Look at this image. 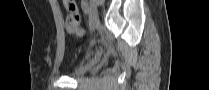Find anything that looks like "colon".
Segmentation results:
<instances>
[{"mask_svg":"<svg viewBox=\"0 0 209 90\" xmlns=\"http://www.w3.org/2000/svg\"><path fill=\"white\" fill-rule=\"evenodd\" d=\"M64 4L69 11L65 22L66 30L76 37H81L84 34V29L81 26V16L76 2L74 0H64Z\"/></svg>","mask_w":209,"mask_h":90,"instance_id":"colon-1","label":"colon"}]
</instances>
